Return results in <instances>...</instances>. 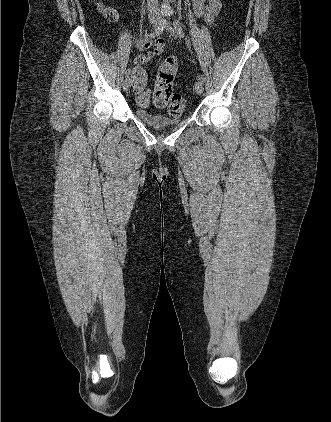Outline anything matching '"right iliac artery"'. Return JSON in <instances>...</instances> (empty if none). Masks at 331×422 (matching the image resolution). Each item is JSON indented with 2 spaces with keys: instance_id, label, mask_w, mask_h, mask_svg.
<instances>
[{
  "instance_id": "obj_1",
  "label": "right iliac artery",
  "mask_w": 331,
  "mask_h": 422,
  "mask_svg": "<svg viewBox=\"0 0 331 422\" xmlns=\"http://www.w3.org/2000/svg\"><path fill=\"white\" fill-rule=\"evenodd\" d=\"M163 30H164V21L160 23L158 26H156L154 30L148 36H146L145 39L148 40V39L155 38L159 36L163 32ZM130 73H131V69L128 68L125 72L126 77H128Z\"/></svg>"
}]
</instances>
